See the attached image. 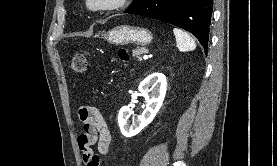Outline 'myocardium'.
<instances>
[{"label":"myocardium","instance_id":"f54148a6","mask_svg":"<svg viewBox=\"0 0 277 166\" xmlns=\"http://www.w3.org/2000/svg\"><path fill=\"white\" fill-rule=\"evenodd\" d=\"M128 0H83V6L89 13H102L123 8Z\"/></svg>","mask_w":277,"mask_h":166}]
</instances>
